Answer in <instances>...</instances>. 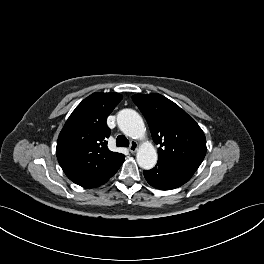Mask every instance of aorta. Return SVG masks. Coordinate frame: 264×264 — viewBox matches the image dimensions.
<instances>
[{"instance_id":"762f6f07","label":"aorta","mask_w":264,"mask_h":264,"mask_svg":"<svg viewBox=\"0 0 264 264\" xmlns=\"http://www.w3.org/2000/svg\"><path fill=\"white\" fill-rule=\"evenodd\" d=\"M120 130L133 139H144L146 129L141 116L132 109H123L117 115ZM157 152L151 142H144L138 149L136 159L138 165L146 170L152 169L157 163Z\"/></svg>"}]
</instances>
